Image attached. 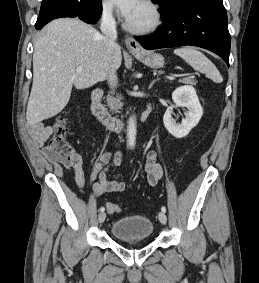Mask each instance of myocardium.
Returning a JSON list of instances; mask_svg holds the SVG:
<instances>
[{
    "instance_id": "1",
    "label": "myocardium",
    "mask_w": 259,
    "mask_h": 283,
    "mask_svg": "<svg viewBox=\"0 0 259 283\" xmlns=\"http://www.w3.org/2000/svg\"><path fill=\"white\" fill-rule=\"evenodd\" d=\"M151 12V21L145 26H134L128 20H125L124 27L133 34L143 35L156 31L162 24V14L159 6L153 0H142Z\"/></svg>"
}]
</instances>
